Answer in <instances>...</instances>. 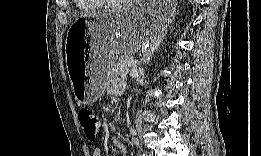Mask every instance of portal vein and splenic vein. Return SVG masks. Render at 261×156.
<instances>
[{"label":"portal vein and splenic vein","mask_w":261,"mask_h":156,"mask_svg":"<svg viewBox=\"0 0 261 156\" xmlns=\"http://www.w3.org/2000/svg\"><path fill=\"white\" fill-rule=\"evenodd\" d=\"M137 62H138V60H136V59H131L130 61H128L127 66H128V67H131V66L137 64Z\"/></svg>","instance_id":"18ae733b"}]
</instances>
